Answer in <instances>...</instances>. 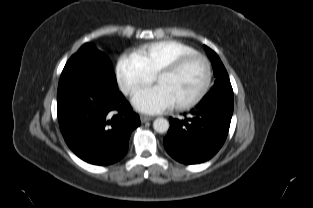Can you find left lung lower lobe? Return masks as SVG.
<instances>
[{
	"instance_id": "left-lung-lower-lobe-1",
	"label": "left lung lower lobe",
	"mask_w": 313,
	"mask_h": 208,
	"mask_svg": "<svg viewBox=\"0 0 313 208\" xmlns=\"http://www.w3.org/2000/svg\"><path fill=\"white\" fill-rule=\"evenodd\" d=\"M234 96L231 91L208 93L189 117L169 118L170 128L163 143L168 154L184 164L202 163L222 147L230 127Z\"/></svg>"
}]
</instances>
